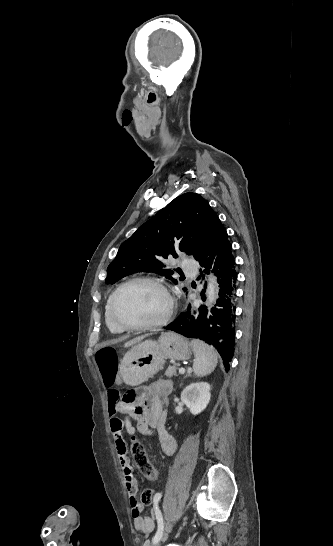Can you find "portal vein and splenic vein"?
Instances as JSON below:
<instances>
[{
    "label": "portal vein and splenic vein",
    "instance_id": "1",
    "mask_svg": "<svg viewBox=\"0 0 333 546\" xmlns=\"http://www.w3.org/2000/svg\"><path fill=\"white\" fill-rule=\"evenodd\" d=\"M179 373H180V374H184V373H185V369H184V368H180V369H179Z\"/></svg>",
    "mask_w": 333,
    "mask_h": 546
}]
</instances>
